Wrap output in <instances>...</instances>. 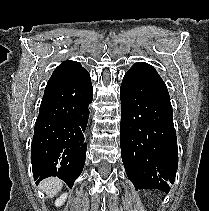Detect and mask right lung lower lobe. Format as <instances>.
I'll return each instance as SVG.
<instances>
[{"instance_id":"obj_1","label":"right lung lower lobe","mask_w":209,"mask_h":211,"mask_svg":"<svg viewBox=\"0 0 209 211\" xmlns=\"http://www.w3.org/2000/svg\"><path fill=\"white\" fill-rule=\"evenodd\" d=\"M92 99L91 79L85 69L44 92L31 145L37 184L57 176L72 187L81 174L87 150L84 132Z\"/></svg>"}]
</instances>
